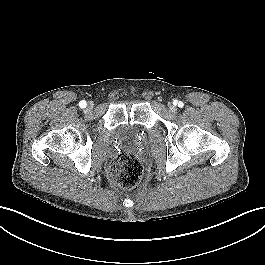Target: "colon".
I'll use <instances>...</instances> for the list:
<instances>
[{
  "label": "colon",
  "mask_w": 265,
  "mask_h": 265,
  "mask_svg": "<svg viewBox=\"0 0 265 265\" xmlns=\"http://www.w3.org/2000/svg\"><path fill=\"white\" fill-rule=\"evenodd\" d=\"M143 174L142 164L134 153L121 152L109 165L111 180L124 188L136 185Z\"/></svg>",
  "instance_id": "obj_1"
}]
</instances>
